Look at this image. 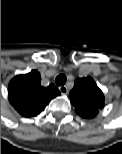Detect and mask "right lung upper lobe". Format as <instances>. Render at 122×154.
<instances>
[{
    "label": "right lung upper lobe",
    "mask_w": 122,
    "mask_h": 154,
    "mask_svg": "<svg viewBox=\"0 0 122 154\" xmlns=\"http://www.w3.org/2000/svg\"><path fill=\"white\" fill-rule=\"evenodd\" d=\"M41 76L37 70L14 77L8 87L9 101L25 117L38 115L51 99L60 95L54 84L41 86Z\"/></svg>",
    "instance_id": "1"
}]
</instances>
